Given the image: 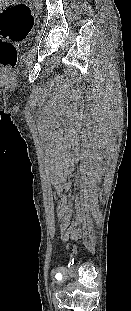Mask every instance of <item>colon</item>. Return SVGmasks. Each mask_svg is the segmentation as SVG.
Instances as JSON below:
<instances>
[{"label": "colon", "instance_id": "obj_1", "mask_svg": "<svg viewBox=\"0 0 131 311\" xmlns=\"http://www.w3.org/2000/svg\"><path fill=\"white\" fill-rule=\"evenodd\" d=\"M34 24L28 5L0 0V70H10L17 61L16 42L23 41Z\"/></svg>", "mask_w": 131, "mask_h": 311}]
</instances>
